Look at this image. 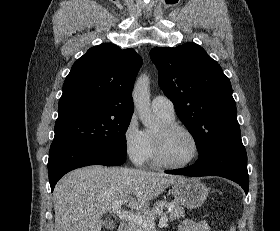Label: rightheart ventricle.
I'll use <instances>...</instances> for the list:
<instances>
[{"label":"right heart ventricle","instance_id":"obj_1","mask_svg":"<svg viewBox=\"0 0 280 231\" xmlns=\"http://www.w3.org/2000/svg\"><path fill=\"white\" fill-rule=\"evenodd\" d=\"M161 119L165 122H174V118H167V117H164L160 114H158ZM147 135V138H148V142H149V153H148V156H147V159L148 161L152 162V163H156V160H155V145H154V135L150 132H147L146 133Z\"/></svg>","mask_w":280,"mask_h":231}]
</instances>
